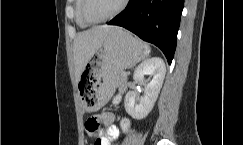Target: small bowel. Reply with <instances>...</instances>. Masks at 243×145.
<instances>
[{
    "mask_svg": "<svg viewBox=\"0 0 243 145\" xmlns=\"http://www.w3.org/2000/svg\"><path fill=\"white\" fill-rule=\"evenodd\" d=\"M99 122L106 126L104 131L98 130L89 134L92 139L91 145H112L119 137V128L114 124L115 116L112 113H101L97 116Z\"/></svg>",
    "mask_w": 243,
    "mask_h": 145,
    "instance_id": "small-bowel-1",
    "label": "small bowel"
}]
</instances>
